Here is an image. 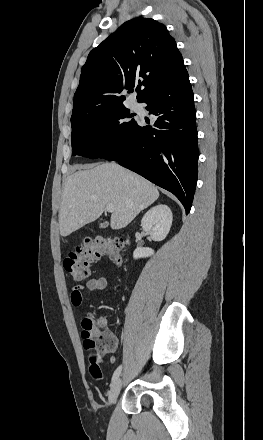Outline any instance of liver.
Masks as SVG:
<instances>
[{
    "instance_id": "1",
    "label": "liver",
    "mask_w": 263,
    "mask_h": 440,
    "mask_svg": "<svg viewBox=\"0 0 263 440\" xmlns=\"http://www.w3.org/2000/svg\"><path fill=\"white\" fill-rule=\"evenodd\" d=\"M158 197L155 185L116 163L79 166L64 185L60 234L65 237L95 221L109 203L115 206L110 226L122 229Z\"/></svg>"
}]
</instances>
